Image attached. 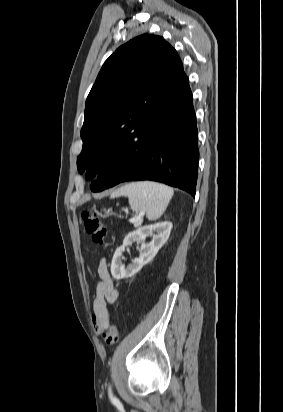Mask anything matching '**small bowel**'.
<instances>
[{
  "instance_id": "obj_1",
  "label": "small bowel",
  "mask_w": 283,
  "mask_h": 412,
  "mask_svg": "<svg viewBox=\"0 0 283 412\" xmlns=\"http://www.w3.org/2000/svg\"><path fill=\"white\" fill-rule=\"evenodd\" d=\"M98 275L99 282L96 288V297L93 301L92 324L96 332L100 333L109 319L107 304L116 301L118 292L103 262L99 265Z\"/></svg>"
}]
</instances>
